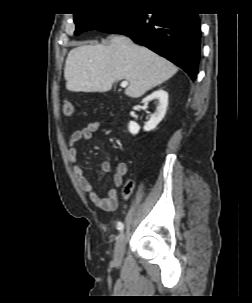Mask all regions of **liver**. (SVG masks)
Returning <instances> with one entry per match:
<instances>
[{
  "mask_svg": "<svg viewBox=\"0 0 252 303\" xmlns=\"http://www.w3.org/2000/svg\"><path fill=\"white\" fill-rule=\"evenodd\" d=\"M109 44L92 43L72 49L66 59V88L72 92H107L113 83L129 82L125 94L132 98L171 78L177 67L128 37L112 35Z\"/></svg>",
  "mask_w": 252,
  "mask_h": 303,
  "instance_id": "liver-1",
  "label": "liver"
}]
</instances>
